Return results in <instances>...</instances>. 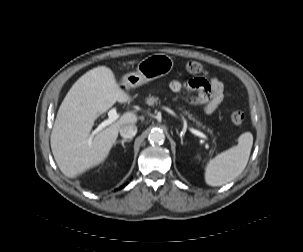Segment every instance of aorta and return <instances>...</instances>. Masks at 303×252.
Listing matches in <instances>:
<instances>
[{"label":"aorta","mask_w":303,"mask_h":252,"mask_svg":"<svg viewBox=\"0 0 303 252\" xmlns=\"http://www.w3.org/2000/svg\"><path fill=\"white\" fill-rule=\"evenodd\" d=\"M148 140L152 144H162L165 140V135L160 129H153L149 135Z\"/></svg>","instance_id":"obj_1"}]
</instances>
